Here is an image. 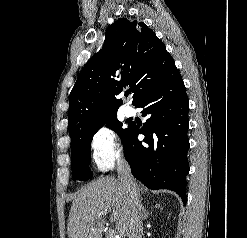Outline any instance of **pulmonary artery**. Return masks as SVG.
<instances>
[{"mask_svg":"<svg viewBox=\"0 0 247 238\" xmlns=\"http://www.w3.org/2000/svg\"><path fill=\"white\" fill-rule=\"evenodd\" d=\"M123 112H124L125 116H127V117H130L134 114V110L130 106H125L123 109Z\"/></svg>","mask_w":247,"mask_h":238,"instance_id":"1","label":"pulmonary artery"}]
</instances>
